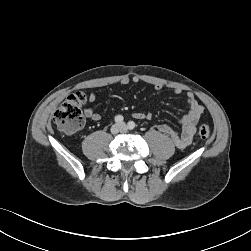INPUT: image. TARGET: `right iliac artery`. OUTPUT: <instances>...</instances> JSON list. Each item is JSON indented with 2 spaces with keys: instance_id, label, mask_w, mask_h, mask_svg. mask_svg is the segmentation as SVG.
<instances>
[{
  "instance_id": "1",
  "label": "right iliac artery",
  "mask_w": 251,
  "mask_h": 251,
  "mask_svg": "<svg viewBox=\"0 0 251 251\" xmlns=\"http://www.w3.org/2000/svg\"><path fill=\"white\" fill-rule=\"evenodd\" d=\"M115 122L116 123H122L123 122V116L122 115H117L115 117Z\"/></svg>"
}]
</instances>
